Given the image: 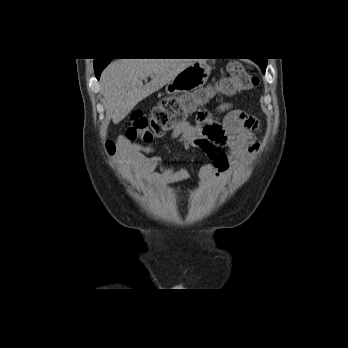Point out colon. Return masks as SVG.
Segmentation results:
<instances>
[{
  "mask_svg": "<svg viewBox=\"0 0 348 348\" xmlns=\"http://www.w3.org/2000/svg\"><path fill=\"white\" fill-rule=\"evenodd\" d=\"M229 79L219 84V89L226 93L241 92L257 86L258 77L240 62H232L228 66ZM192 103L187 97H163L149 116L142 111H133L125 130V138L130 141L141 140L151 142L162 137L166 132L182 125L190 111ZM199 120V111L197 113ZM109 154L116 152V144H107Z\"/></svg>",
  "mask_w": 348,
  "mask_h": 348,
  "instance_id": "obj_1",
  "label": "colon"
}]
</instances>
